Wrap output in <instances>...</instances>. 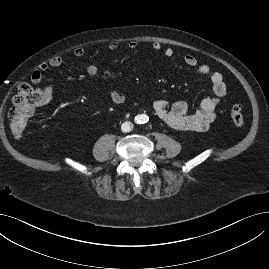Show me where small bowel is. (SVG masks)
<instances>
[{
  "instance_id": "obj_1",
  "label": "small bowel",
  "mask_w": 269,
  "mask_h": 269,
  "mask_svg": "<svg viewBox=\"0 0 269 269\" xmlns=\"http://www.w3.org/2000/svg\"><path fill=\"white\" fill-rule=\"evenodd\" d=\"M128 48L135 50L138 47V42L132 40L128 43ZM110 51H116L118 49V43L112 41L108 44ZM152 49L155 51H161L163 46L159 42L152 44ZM76 57H83L85 50L78 47L74 50ZM163 55L166 58H171L174 55V50L170 47L163 49ZM185 65L188 67L196 68L197 73L203 77H209L211 83V91L213 96L204 99L199 109L194 112H189V105L186 101L180 100L174 102L172 105L164 100H156L153 103V109L158 117L169 127L178 131H205L216 119V109L219 104L226 101L228 88L224 81V77L220 72H212L210 67L206 64H199L196 57L192 54H186L183 58ZM64 59L60 56L51 58L49 61L40 64L31 74V81L34 84H39L42 81L43 74L50 68L59 67L63 64ZM86 72L90 76H95L98 73V67L95 64H89L86 67ZM65 92L64 88L60 90ZM42 104H48L51 102L54 96V87L48 85L42 90ZM109 98L115 104H123L125 97L122 93L111 90L109 91Z\"/></svg>"
}]
</instances>
